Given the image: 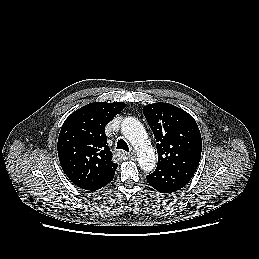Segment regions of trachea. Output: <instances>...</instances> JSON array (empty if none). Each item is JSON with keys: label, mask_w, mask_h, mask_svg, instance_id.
<instances>
[{"label": "trachea", "mask_w": 259, "mask_h": 259, "mask_svg": "<svg viewBox=\"0 0 259 259\" xmlns=\"http://www.w3.org/2000/svg\"><path fill=\"white\" fill-rule=\"evenodd\" d=\"M117 149L124 150L126 152H129V147L127 143L123 139H119L117 142Z\"/></svg>", "instance_id": "1"}]
</instances>
